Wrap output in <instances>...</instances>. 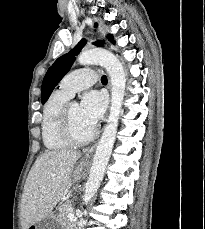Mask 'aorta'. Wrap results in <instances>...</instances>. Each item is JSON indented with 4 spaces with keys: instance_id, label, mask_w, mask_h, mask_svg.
Wrapping results in <instances>:
<instances>
[{
    "instance_id": "aorta-1",
    "label": "aorta",
    "mask_w": 205,
    "mask_h": 229,
    "mask_svg": "<svg viewBox=\"0 0 205 229\" xmlns=\"http://www.w3.org/2000/svg\"><path fill=\"white\" fill-rule=\"evenodd\" d=\"M81 65L99 64L109 74L111 80V107L102 137L97 144L92 167L86 183L83 202L87 204L98 190L112 153L116 138L119 116L125 95L126 76L119 59L105 49H90L83 51L78 57Z\"/></svg>"
}]
</instances>
